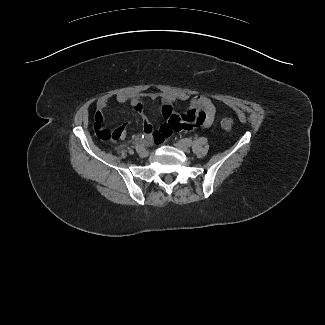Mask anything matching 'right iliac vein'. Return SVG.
<instances>
[{
    "mask_svg": "<svg viewBox=\"0 0 325 325\" xmlns=\"http://www.w3.org/2000/svg\"><path fill=\"white\" fill-rule=\"evenodd\" d=\"M138 154L140 157H147L149 153L145 148H143L140 151H138Z\"/></svg>",
    "mask_w": 325,
    "mask_h": 325,
    "instance_id": "1",
    "label": "right iliac vein"
}]
</instances>
